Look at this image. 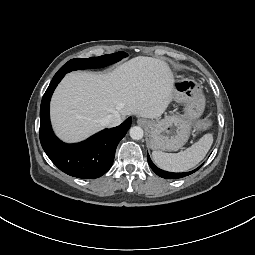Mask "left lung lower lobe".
I'll use <instances>...</instances> for the list:
<instances>
[{
	"label": "left lung lower lobe",
	"instance_id": "obj_1",
	"mask_svg": "<svg viewBox=\"0 0 255 255\" xmlns=\"http://www.w3.org/2000/svg\"><path fill=\"white\" fill-rule=\"evenodd\" d=\"M147 160H148V163L151 167V169L157 174L159 175L160 177L162 178H166V179H178V178H182V177H185V176H188L192 173H194L195 171H197L199 169V167L193 171H190V172H185V173H171V172H167V171H163L159 168H157L151 161L149 155H147Z\"/></svg>",
	"mask_w": 255,
	"mask_h": 255
}]
</instances>
